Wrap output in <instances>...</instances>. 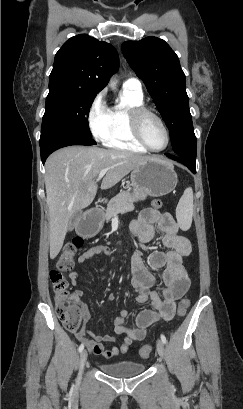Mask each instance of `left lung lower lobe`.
<instances>
[{
  "label": "left lung lower lobe",
  "mask_w": 243,
  "mask_h": 409,
  "mask_svg": "<svg viewBox=\"0 0 243 409\" xmlns=\"http://www.w3.org/2000/svg\"><path fill=\"white\" fill-rule=\"evenodd\" d=\"M167 157L177 161V162H181L183 163L185 166H187L193 173H196V169H195V161H191L188 159H185L177 154H165Z\"/></svg>",
  "instance_id": "left-lung-lower-lobe-1"
}]
</instances>
